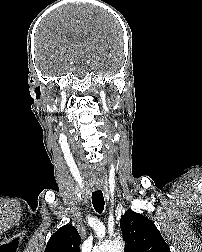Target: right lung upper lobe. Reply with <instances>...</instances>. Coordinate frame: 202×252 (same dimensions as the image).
Listing matches in <instances>:
<instances>
[{
  "label": "right lung upper lobe",
  "instance_id": "right-lung-upper-lobe-1",
  "mask_svg": "<svg viewBox=\"0 0 202 252\" xmlns=\"http://www.w3.org/2000/svg\"><path fill=\"white\" fill-rule=\"evenodd\" d=\"M81 239L72 225L59 228L49 239L45 252H80Z\"/></svg>",
  "mask_w": 202,
  "mask_h": 252
}]
</instances>
